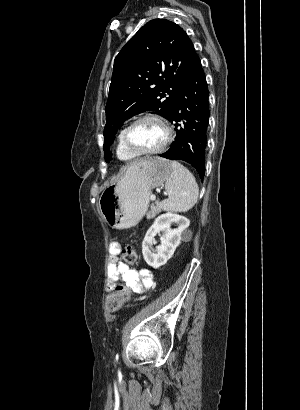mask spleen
I'll use <instances>...</instances> for the list:
<instances>
[{"instance_id":"obj_1","label":"spleen","mask_w":300,"mask_h":410,"mask_svg":"<svg viewBox=\"0 0 300 410\" xmlns=\"http://www.w3.org/2000/svg\"><path fill=\"white\" fill-rule=\"evenodd\" d=\"M172 173L165 183L168 198L161 209L170 212H187L197 202L199 188L193 174L177 161L171 162Z\"/></svg>"}]
</instances>
